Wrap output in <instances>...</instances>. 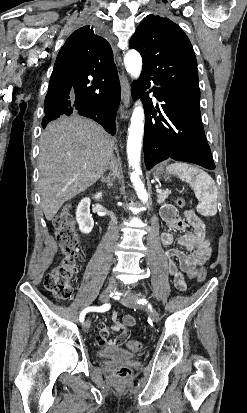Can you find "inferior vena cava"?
I'll return each mask as SVG.
<instances>
[{
	"label": "inferior vena cava",
	"instance_id": "1",
	"mask_svg": "<svg viewBox=\"0 0 247 413\" xmlns=\"http://www.w3.org/2000/svg\"><path fill=\"white\" fill-rule=\"evenodd\" d=\"M108 168H110V170H112L113 174H117L118 164H117L116 160H114L113 156H111V160L108 164Z\"/></svg>",
	"mask_w": 247,
	"mask_h": 413
}]
</instances>
